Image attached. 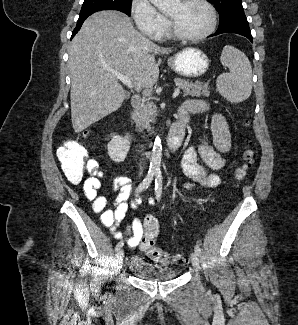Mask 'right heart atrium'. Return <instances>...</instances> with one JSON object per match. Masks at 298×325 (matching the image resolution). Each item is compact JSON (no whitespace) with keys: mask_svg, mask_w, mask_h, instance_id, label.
Returning a JSON list of instances; mask_svg holds the SVG:
<instances>
[{"mask_svg":"<svg viewBox=\"0 0 298 325\" xmlns=\"http://www.w3.org/2000/svg\"><path fill=\"white\" fill-rule=\"evenodd\" d=\"M132 15L139 30L149 41H166V18L158 11L151 0H134Z\"/></svg>","mask_w":298,"mask_h":325,"instance_id":"1","label":"right heart atrium"}]
</instances>
